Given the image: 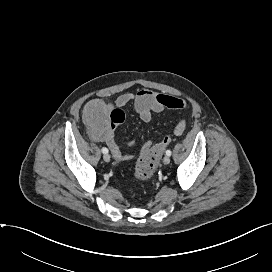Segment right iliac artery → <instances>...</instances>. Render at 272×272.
Here are the masks:
<instances>
[{
    "mask_svg": "<svg viewBox=\"0 0 272 272\" xmlns=\"http://www.w3.org/2000/svg\"><path fill=\"white\" fill-rule=\"evenodd\" d=\"M102 152H103L104 154H106V153H108V149H107L106 147H103V148H102Z\"/></svg>",
    "mask_w": 272,
    "mask_h": 272,
    "instance_id": "82829eb1",
    "label": "right iliac artery"
}]
</instances>
